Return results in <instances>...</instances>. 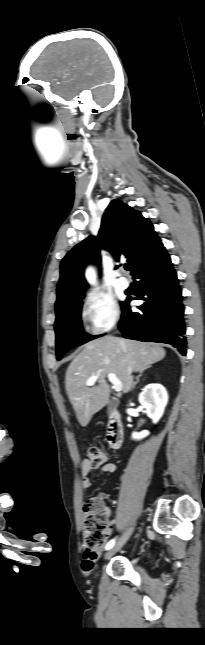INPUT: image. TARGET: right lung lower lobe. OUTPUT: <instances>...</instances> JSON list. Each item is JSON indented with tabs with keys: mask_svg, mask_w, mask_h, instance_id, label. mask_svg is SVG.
Here are the masks:
<instances>
[{
	"mask_svg": "<svg viewBox=\"0 0 205 645\" xmlns=\"http://www.w3.org/2000/svg\"><path fill=\"white\" fill-rule=\"evenodd\" d=\"M134 278L145 300L133 312L128 298L122 307L119 329L124 338L168 343L186 355V325L183 296L169 255L139 271Z\"/></svg>",
	"mask_w": 205,
	"mask_h": 645,
	"instance_id": "1",
	"label": "right lung lower lobe"
}]
</instances>
